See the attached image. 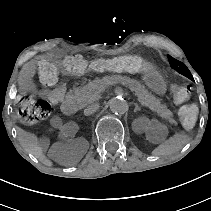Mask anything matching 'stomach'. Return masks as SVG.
Returning <instances> with one entry per match:
<instances>
[{
  "mask_svg": "<svg viewBox=\"0 0 211 211\" xmlns=\"http://www.w3.org/2000/svg\"><path fill=\"white\" fill-rule=\"evenodd\" d=\"M145 84L157 92L158 94H164L166 91V84L161 76L156 74H148L143 77Z\"/></svg>",
  "mask_w": 211,
  "mask_h": 211,
  "instance_id": "1",
  "label": "stomach"
}]
</instances>
